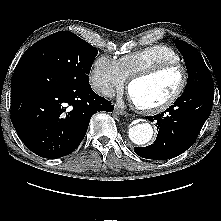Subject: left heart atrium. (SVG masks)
I'll list each match as a JSON object with an SVG mask.
<instances>
[{
    "label": "left heart atrium",
    "mask_w": 221,
    "mask_h": 221,
    "mask_svg": "<svg viewBox=\"0 0 221 221\" xmlns=\"http://www.w3.org/2000/svg\"><path fill=\"white\" fill-rule=\"evenodd\" d=\"M129 99H130V101H132V102H134V104L136 103L135 102V99H134V97H133V95H132V93L129 91Z\"/></svg>",
    "instance_id": "39dd6f15"
}]
</instances>
